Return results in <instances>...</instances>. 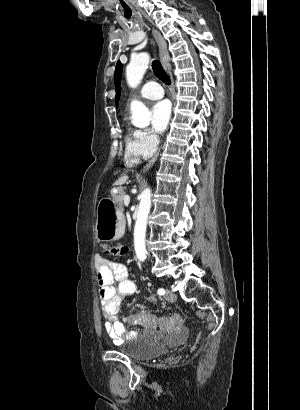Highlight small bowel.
<instances>
[{
  "label": "small bowel",
  "mask_w": 300,
  "mask_h": 410,
  "mask_svg": "<svg viewBox=\"0 0 300 410\" xmlns=\"http://www.w3.org/2000/svg\"><path fill=\"white\" fill-rule=\"evenodd\" d=\"M95 271L108 336L115 345L134 339L136 332L118 319V313L123 301L134 295L135 282L129 278L124 265L102 256L96 258Z\"/></svg>",
  "instance_id": "obj_1"
}]
</instances>
